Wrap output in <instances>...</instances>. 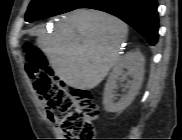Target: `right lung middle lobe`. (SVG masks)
<instances>
[{
    "instance_id": "1",
    "label": "right lung middle lobe",
    "mask_w": 182,
    "mask_h": 140,
    "mask_svg": "<svg viewBox=\"0 0 182 140\" xmlns=\"http://www.w3.org/2000/svg\"><path fill=\"white\" fill-rule=\"evenodd\" d=\"M87 0H32L27 13L26 21L48 18L79 8Z\"/></svg>"
}]
</instances>
